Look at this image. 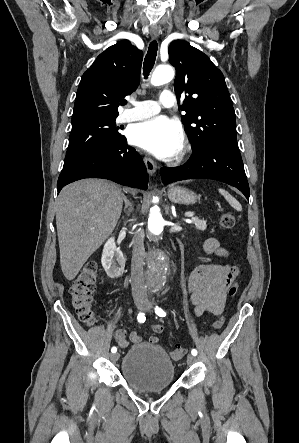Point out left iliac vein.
Segmentation results:
<instances>
[{"instance_id": "left-iliac-vein-1", "label": "left iliac vein", "mask_w": 299, "mask_h": 443, "mask_svg": "<svg viewBox=\"0 0 299 443\" xmlns=\"http://www.w3.org/2000/svg\"><path fill=\"white\" fill-rule=\"evenodd\" d=\"M150 309H151V304H150V303H147V304L144 306V310H145V311H148V310H150ZM195 361H196L195 356L192 355V354H188V356H187V364H188V365H192V364L195 363Z\"/></svg>"}]
</instances>
